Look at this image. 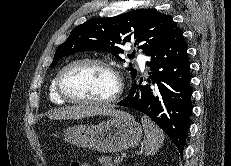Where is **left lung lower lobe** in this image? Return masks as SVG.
Masks as SVG:
<instances>
[{"mask_svg": "<svg viewBox=\"0 0 231 166\" xmlns=\"http://www.w3.org/2000/svg\"><path fill=\"white\" fill-rule=\"evenodd\" d=\"M148 82L135 80L129 95L118 103L149 116L170 137L182 155L192 111L190 61L183 32L176 27L150 55Z\"/></svg>", "mask_w": 231, "mask_h": 166, "instance_id": "1", "label": "left lung lower lobe"}]
</instances>
